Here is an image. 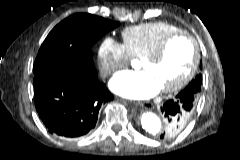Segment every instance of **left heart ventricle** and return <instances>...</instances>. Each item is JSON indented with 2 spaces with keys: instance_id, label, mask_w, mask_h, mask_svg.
<instances>
[{
  "instance_id": "obj_1",
  "label": "left heart ventricle",
  "mask_w": 240,
  "mask_h": 160,
  "mask_svg": "<svg viewBox=\"0 0 240 160\" xmlns=\"http://www.w3.org/2000/svg\"><path fill=\"white\" fill-rule=\"evenodd\" d=\"M192 59L190 42L185 38H177L168 45L161 60L140 62V67L156 79L160 88H164L174 85L185 76Z\"/></svg>"
}]
</instances>
